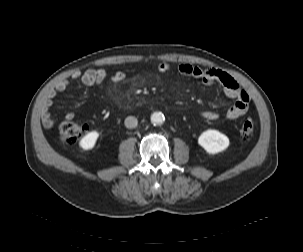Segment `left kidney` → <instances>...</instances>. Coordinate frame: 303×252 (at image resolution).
Returning <instances> with one entry per match:
<instances>
[{"label": "left kidney", "mask_w": 303, "mask_h": 252, "mask_svg": "<svg viewBox=\"0 0 303 252\" xmlns=\"http://www.w3.org/2000/svg\"><path fill=\"white\" fill-rule=\"evenodd\" d=\"M198 144L204 148L207 153L216 154L229 146V139L219 131L209 129L199 136Z\"/></svg>", "instance_id": "left-kidney-1"}]
</instances>
